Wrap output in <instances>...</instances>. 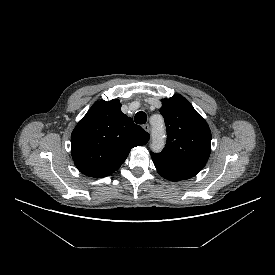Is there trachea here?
<instances>
[{
	"label": "trachea",
	"mask_w": 275,
	"mask_h": 275,
	"mask_svg": "<svg viewBox=\"0 0 275 275\" xmlns=\"http://www.w3.org/2000/svg\"><path fill=\"white\" fill-rule=\"evenodd\" d=\"M134 120L137 124H145L147 121V115L145 112L139 111L136 113Z\"/></svg>",
	"instance_id": "trachea-1"
}]
</instances>
